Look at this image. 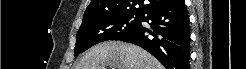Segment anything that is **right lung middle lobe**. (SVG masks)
Segmentation results:
<instances>
[{
	"instance_id": "obj_1",
	"label": "right lung middle lobe",
	"mask_w": 246,
	"mask_h": 69,
	"mask_svg": "<svg viewBox=\"0 0 246 69\" xmlns=\"http://www.w3.org/2000/svg\"><path fill=\"white\" fill-rule=\"evenodd\" d=\"M141 19L142 14H121L83 21L77 33L74 56L100 42L118 40L127 32L137 28Z\"/></svg>"
}]
</instances>
